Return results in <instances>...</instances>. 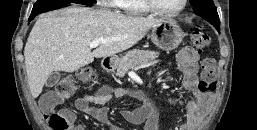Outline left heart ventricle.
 Masks as SVG:
<instances>
[{
    "instance_id": "1",
    "label": "left heart ventricle",
    "mask_w": 257,
    "mask_h": 130,
    "mask_svg": "<svg viewBox=\"0 0 257 130\" xmlns=\"http://www.w3.org/2000/svg\"><path fill=\"white\" fill-rule=\"evenodd\" d=\"M183 0H155V3L162 9L167 11L177 10Z\"/></svg>"
}]
</instances>
